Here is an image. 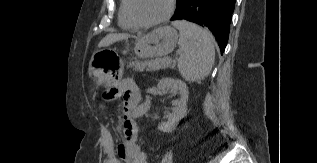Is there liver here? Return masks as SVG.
<instances>
[{"instance_id": "liver-1", "label": "liver", "mask_w": 317, "mask_h": 163, "mask_svg": "<svg viewBox=\"0 0 317 163\" xmlns=\"http://www.w3.org/2000/svg\"><path fill=\"white\" fill-rule=\"evenodd\" d=\"M130 37L129 34H108L106 35L98 44L99 48L107 47L115 42L128 39Z\"/></svg>"}]
</instances>
